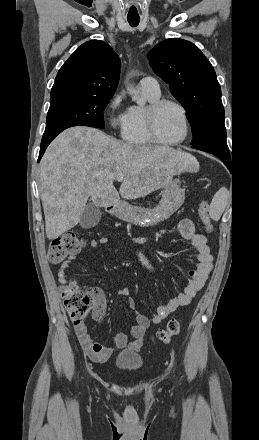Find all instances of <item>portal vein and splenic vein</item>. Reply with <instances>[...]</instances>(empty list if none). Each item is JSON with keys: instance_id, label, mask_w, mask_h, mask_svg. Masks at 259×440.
<instances>
[{"instance_id": "18ae733b", "label": "portal vein and splenic vein", "mask_w": 259, "mask_h": 440, "mask_svg": "<svg viewBox=\"0 0 259 440\" xmlns=\"http://www.w3.org/2000/svg\"><path fill=\"white\" fill-rule=\"evenodd\" d=\"M116 179H117L118 182H122L123 179H124V175H123V174H118V175L116 176Z\"/></svg>"}]
</instances>
